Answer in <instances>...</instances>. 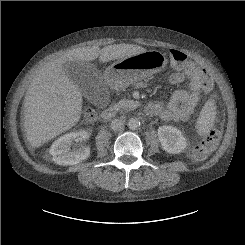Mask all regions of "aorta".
I'll use <instances>...</instances> for the list:
<instances>
[{"label": "aorta", "instance_id": "762f6f07", "mask_svg": "<svg viewBox=\"0 0 245 245\" xmlns=\"http://www.w3.org/2000/svg\"><path fill=\"white\" fill-rule=\"evenodd\" d=\"M128 127L132 130L138 129L140 127V120L138 118H130L128 120Z\"/></svg>", "mask_w": 245, "mask_h": 245}]
</instances>
